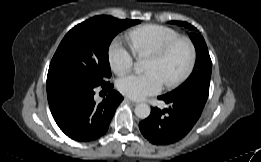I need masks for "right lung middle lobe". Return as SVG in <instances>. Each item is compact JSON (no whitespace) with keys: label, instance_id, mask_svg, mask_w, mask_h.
<instances>
[{"label":"right lung middle lobe","instance_id":"obj_1","mask_svg":"<svg viewBox=\"0 0 261 162\" xmlns=\"http://www.w3.org/2000/svg\"><path fill=\"white\" fill-rule=\"evenodd\" d=\"M140 23L107 15L95 16L72 28L61 41L49 66L47 92L67 83L97 87L110 78L108 48L122 30Z\"/></svg>","mask_w":261,"mask_h":162}]
</instances>
